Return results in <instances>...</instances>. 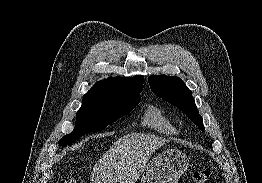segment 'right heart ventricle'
<instances>
[{
  "instance_id": "obj_1",
  "label": "right heart ventricle",
  "mask_w": 262,
  "mask_h": 183,
  "mask_svg": "<svg viewBox=\"0 0 262 183\" xmlns=\"http://www.w3.org/2000/svg\"><path fill=\"white\" fill-rule=\"evenodd\" d=\"M143 124L162 134L174 135L177 133L172 121L157 106L148 107L143 117Z\"/></svg>"
}]
</instances>
